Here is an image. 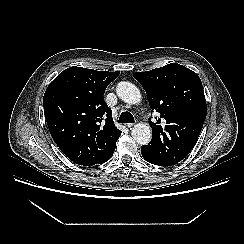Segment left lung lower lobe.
I'll use <instances>...</instances> for the list:
<instances>
[{
  "label": "left lung lower lobe",
  "instance_id": "obj_1",
  "mask_svg": "<svg viewBox=\"0 0 244 244\" xmlns=\"http://www.w3.org/2000/svg\"><path fill=\"white\" fill-rule=\"evenodd\" d=\"M141 153H142L143 158H144L146 161L152 163V156H151L150 152L146 149L145 146H142V147H141ZM152 164H153V163H152Z\"/></svg>",
  "mask_w": 244,
  "mask_h": 244
}]
</instances>
